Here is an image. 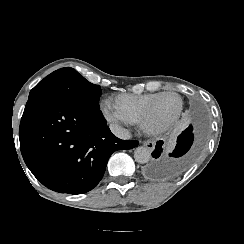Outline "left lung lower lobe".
<instances>
[{"label":"left lung lower lobe","instance_id":"left-lung-lower-lobe-1","mask_svg":"<svg viewBox=\"0 0 244 244\" xmlns=\"http://www.w3.org/2000/svg\"><path fill=\"white\" fill-rule=\"evenodd\" d=\"M193 127L190 125L177 138V143L173 152L169 153L167 158H159L162 152L160 144H156L155 150L152 152V160L146 166V174L153 178L165 177L176 174L182 170L188 163L189 158H182L191 148L193 144Z\"/></svg>","mask_w":244,"mask_h":244}]
</instances>
